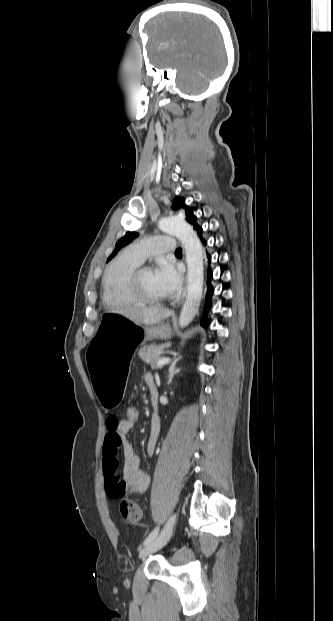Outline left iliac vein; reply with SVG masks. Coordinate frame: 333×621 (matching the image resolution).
<instances>
[{
    "mask_svg": "<svg viewBox=\"0 0 333 621\" xmlns=\"http://www.w3.org/2000/svg\"><path fill=\"white\" fill-rule=\"evenodd\" d=\"M176 521V514H173L167 521V523L165 524L163 530L161 531V533L159 534L158 537H156L153 541H151L149 544H147L141 551H140V558L144 559L146 557H148L149 555H151L152 553L160 550L162 547H164L167 542L170 540L171 535H172V530H173V526L175 524Z\"/></svg>",
    "mask_w": 333,
    "mask_h": 621,
    "instance_id": "4c4485c4",
    "label": "left iliac vein"
}]
</instances>
